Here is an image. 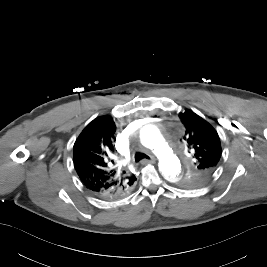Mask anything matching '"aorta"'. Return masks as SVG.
I'll list each match as a JSON object with an SVG mask.
<instances>
[{
    "instance_id": "762f6f07",
    "label": "aorta",
    "mask_w": 267,
    "mask_h": 267,
    "mask_svg": "<svg viewBox=\"0 0 267 267\" xmlns=\"http://www.w3.org/2000/svg\"><path fill=\"white\" fill-rule=\"evenodd\" d=\"M141 143L153 149L159 159V169L170 182L177 183L181 179V163L161 135L159 129L153 125H146L140 132Z\"/></svg>"
}]
</instances>
